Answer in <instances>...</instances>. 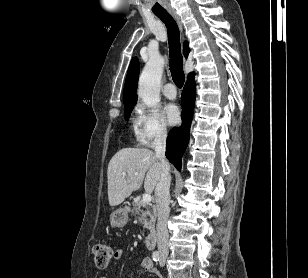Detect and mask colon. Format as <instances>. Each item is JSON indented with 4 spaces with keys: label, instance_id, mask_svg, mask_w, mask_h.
<instances>
[{
    "label": "colon",
    "instance_id": "obj_1",
    "mask_svg": "<svg viewBox=\"0 0 308 278\" xmlns=\"http://www.w3.org/2000/svg\"><path fill=\"white\" fill-rule=\"evenodd\" d=\"M113 257L112 248L106 243L96 244L93 248V258L98 268H106Z\"/></svg>",
    "mask_w": 308,
    "mask_h": 278
}]
</instances>
